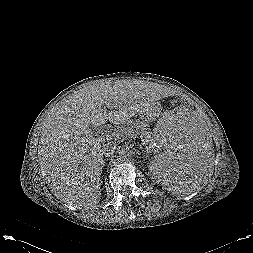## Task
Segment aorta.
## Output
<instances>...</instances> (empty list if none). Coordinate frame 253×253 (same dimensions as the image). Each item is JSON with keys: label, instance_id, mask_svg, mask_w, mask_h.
I'll list each match as a JSON object with an SVG mask.
<instances>
[{"label": "aorta", "instance_id": "aorta-1", "mask_svg": "<svg viewBox=\"0 0 253 253\" xmlns=\"http://www.w3.org/2000/svg\"><path fill=\"white\" fill-rule=\"evenodd\" d=\"M132 156H133V153L130 149L128 148H121L119 151H118V158L121 160V161H129L132 159Z\"/></svg>", "mask_w": 253, "mask_h": 253}]
</instances>
